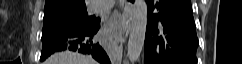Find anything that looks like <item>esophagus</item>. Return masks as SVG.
<instances>
[{"instance_id": "1", "label": "esophagus", "mask_w": 242, "mask_h": 64, "mask_svg": "<svg viewBox=\"0 0 242 64\" xmlns=\"http://www.w3.org/2000/svg\"><path fill=\"white\" fill-rule=\"evenodd\" d=\"M134 9L135 7L133 3H125L124 14L121 19V28L118 34V40L121 43H124L126 41V38L128 37V34L130 32Z\"/></svg>"}]
</instances>
